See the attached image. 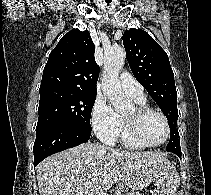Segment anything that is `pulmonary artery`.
Segmentation results:
<instances>
[{"label": "pulmonary artery", "mask_w": 211, "mask_h": 195, "mask_svg": "<svg viewBox=\"0 0 211 195\" xmlns=\"http://www.w3.org/2000/svg\"><path fill=\"white\" fill-rule=\"evenodd\" d=\"M120 83L124 92L135 100L145 99L143 86L129 73L120 75Z\"/></svg>", "instance_id": "pulmonary-artery-1"}]
</instances>
